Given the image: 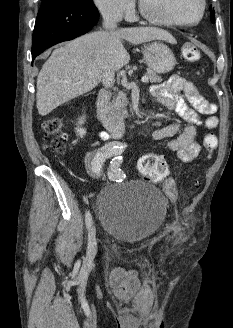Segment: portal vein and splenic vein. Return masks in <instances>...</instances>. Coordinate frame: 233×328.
<instances>
[{"label": "portal vein and splenic vein", "instance_id": "1", "mask_svg": "<svg viewBox=\"0 0 233 328\" xmlns=\"http://www.w3.org/2000/svg\"><path fill=\"white\" fill-rule=\"evenodd\" d=\"M141 81L144 82V83H146V82L148 81V78H147L146 76H143V77L141 78Z\"/></svg>", "mask_w": 233, "mask_h": 328}]
</instances>
